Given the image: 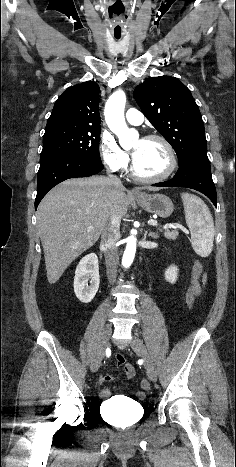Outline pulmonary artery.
Here are the masks:
<instances>
[{
    "instance_id": "obj_1",
    "label": "pulmonary artery",
    "mask_w": 236,
    "mask_h": 467,
    "mask_svg": "<svg viewBox=\"0 0 236 467\" xmlns=\"http://www.w3.org/2000/svg\"><path fill=\"white\" fill-rule=\"evenodd\" d=\"M126 119L132 125H140L144 121V116L139 110L130 108L126 112Z\"/></svg>"
}]
</instances>
